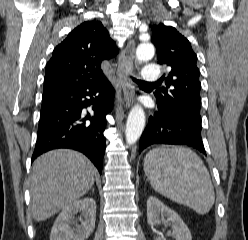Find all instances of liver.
Listing matches in <instances>:
<instances>
[{"label": "liver", "instance_id": "liver-1", "mask_svg": "<svg viewBox=\"0 0 248 240\" xmlns=\"http://www.w3.org/2000/svg\"><path fill=\"white\" fill-rule=\"evenodd\" d=\"M94 175L87 157L73 150L58 149L38 157L30 177L33 219L44 221L84 196Z\"/></svg>", "mask_w": 248, "mask_h": 240}]
</instances>
